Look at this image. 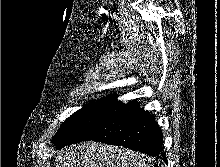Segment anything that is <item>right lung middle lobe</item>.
Returning <instances> with one entry per match:
<instances>
[{"label":"right lung middle lobe","instance_id":"1","mask_svg":"<svg viewBox=\"0 0 220 167\" xmlns=\"http://www.w3.org/2000/svg\"><path fill=\"white\" fill-rule=\"evenodd\" d=\"M115 100L102 99L86 104L60 127L52 142L58 149L83 141L106 117Z\"/></svg>","mask_w":220,"mask_h":167}]
</instances>
